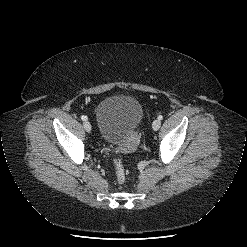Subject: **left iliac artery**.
Here are the masks:
<instances>
[{"label": "left iliac artery", "mask_w": 247, "mask_h": 247, "mask_svg": "<svg viewBox=\"0 0 247 247\" xmlns=\"http://www.w3.org/2000/svg\"><path fill=\"white\" fill-rule=\"evenodd\" d=\"M158 119H159V120H162V119H163V116H162V115H159V116H158Z\"/></svg>", "instance_id": "44dca946"}]
</instances>
